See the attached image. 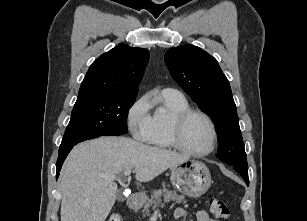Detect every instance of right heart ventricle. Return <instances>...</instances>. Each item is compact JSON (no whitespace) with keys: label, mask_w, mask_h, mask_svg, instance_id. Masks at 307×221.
<instances>
[{"label":"right heart ventricle","mask_w":307,"mask_h":221,"mask_svg":"<svg viewBox=\"0 0 307 221\" xmlns=\"http://www.w3.org/2000/svg\"><path fill=\"white\" fill-rule=\"evenodd\" d=\"M147 141L158 148H173L171 130L175 116L190 108L187 99L178 92L162 91L153 101Z\"/></svg>","instance_id":"obj_1"}]
</instances>
